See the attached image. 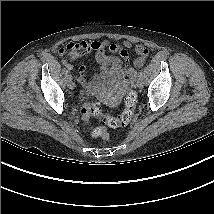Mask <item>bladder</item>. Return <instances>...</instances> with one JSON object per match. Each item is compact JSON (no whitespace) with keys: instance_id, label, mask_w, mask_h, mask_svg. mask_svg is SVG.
<instances>
[{"instance_id":"bladder-1","label":"bladder","mask_w":214,"mask_h":214,"mask_svg":"<svg viewBox=\"0 0 214 214\" xmlns=\"http://www.w3.org/2000/svg\"><path fill=\"white\" fill-rule=\"evenodd\" d=\"M121 70H115L109 68L108 71H103V73L96 78L92 87L100 92H112L118 90L120 84Z\"/></svg>"}]
</instances>
